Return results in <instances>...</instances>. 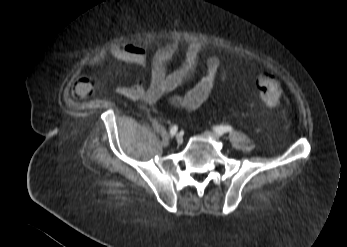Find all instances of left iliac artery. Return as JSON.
<instances>
[{"label": "left iliac artery", "instance_id": "1", "mask_svg": "<svg viewBox=\"0 0 347 247\" xmlns=\"http://www.w3.org/2000/svg\"><path fill=\"white\" fill-rule=\"evenodd\" d=\"M233 129L231 126H216L214 127V131L218 135H223L224 133L231 132Z\"/></svg>", "mask_w": 347, "mask_h": 247}]
</instances>
